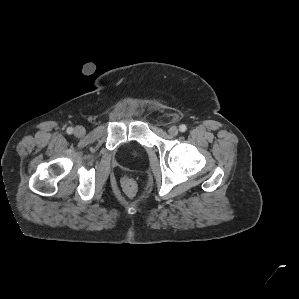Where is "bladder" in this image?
I'll list each match as a JSON object with an SVG mask.
<instances>
[{
  "label": "bladder",
  "instance_id": "bladder-1",
  "mask_svg": "<svg viewBox=\"0 0 299 299\" xmlns=\"http://www.w3.org/2000/svg\"><path fill=\"white\" fill-rule=\"evenodd\" d=\"M121 155L128 164H136L145 157L146 151L140 144L128 142L121 147Z\"/></svg>",
  "mask_w": 299,
  "mask_h": 299
}]
</instances>
